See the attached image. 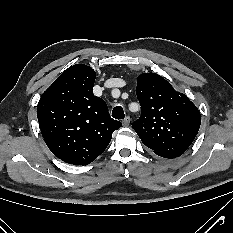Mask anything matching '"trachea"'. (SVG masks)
Returning a JSON list of instances; mask_svg holds the SVG:
<instances>
[{
  "mask_svg": "<svg viewBox=\"0 0 233 233\" xmlns=\"http://www.w3.org/2000/svg\"><path fill=\"white\" fill-rule=\"evenodd\" d=\"M112 117L118 120H122L125 117L124 110L121 106H116L112 111Z\"/></svg>",
  "mask_w": 233,
  "mask_h": 233,
  "instance_id": "1",
  "label": "trachea"
}]
</instances>
